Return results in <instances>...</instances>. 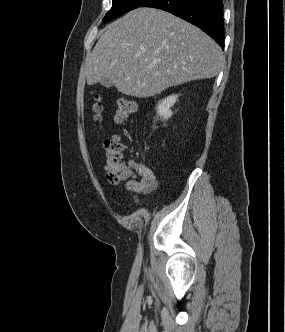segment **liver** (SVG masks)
<instances>
[{
	"mask_svg": "<svg viewBox=\"0 0 285 332\" xmlns=\"http://www.w3.org/2000/svg\"><path fill=\"white\" fill-rule=\"evenodd\" d=\"M223 64L219 45L175 15L137 8L106 26L87 55L88 85L109 79L122 94L146 98L168 87L215 77Z\"/></svg>",
	"mask_w": 285,
	"mask_h": 332,
	"instance_id": "6515ba94",
	"label": "liver"
}]
</instances>
